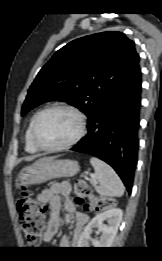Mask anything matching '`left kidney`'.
<instances>
[{
	"label": "left kidney",
	"instance_id": "1",
	"mask_svg": "<svg viewBox=\"0 0 162 261\" xmlns=\"http://www.w3.org/2000/svg\"><path fill=\"white\" fill-rule=\"evenodd\" d=\"M123 212L119 208L108 209L100 214H97L84 228V231L79 237L77 247L89 248L90 234L93 228H97L101 232L99 240L92 242V246L95 248H108L112 245L114 238L117 234L118 227L122 221ZM104 221L108 222V225L103 224Z\"/></svg>",
	"mask_w": 162,
	"mask_h": 261
}]
</instances>
